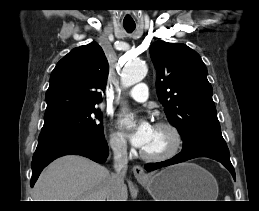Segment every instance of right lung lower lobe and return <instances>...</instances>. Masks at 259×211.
I'll return each instance as SVG.
<instances>
[{"mask_svg":"<svg viewBox=\"0 0 259 211\" xmlns=\"http://www.w3.org/2000/svg\"><path fill=\"white\" fill-rule=\"evenodd\" d=\"M68 154L85 156L95 162L103 163L108 157V145L104 134L91 135L78 132L40 134L31 163V187L50 162Z\"/></svg>","mask_w":259,"mask_h":211,"instance_id":"right-lung-lower-lobe-1","label":"right lung lower lobe"}]
</instances>
